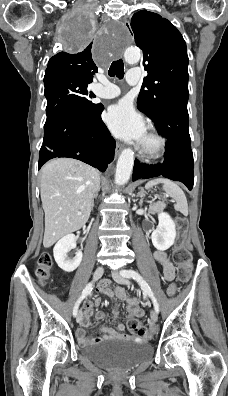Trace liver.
Returning <instances> with one entry per match:
<instances>
[{
    "instance_id": "6515ba94",
    "label": "liver",
    "mask_w": 228,
    "mask_h": 396,
    "mask_svg": "<svg viewBox=\"0 0 228 396\" xmlns=\"http://www.w3.org/2000/svg\"><path fill=\"white\" fill-rule=\"evenodd\" d=\"M99 187L98 170L79 160L57 158L45 164L40 185L45 212V248L87 223L92 199Z\"/></svg>"
}]
</instances>
